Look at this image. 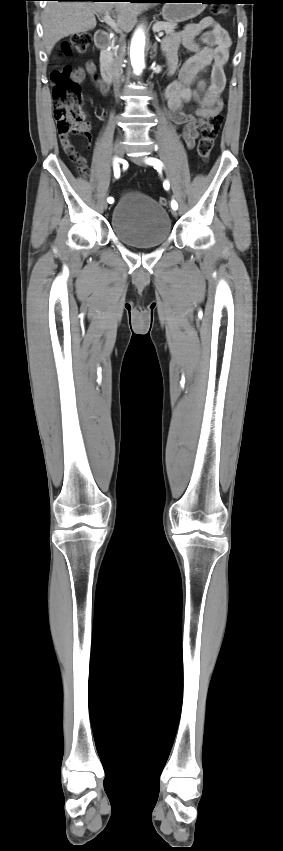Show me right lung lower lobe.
I'll list each match as a JSON object with an SVG mask.
<instances>
[{
  "instance_id": "1",
  "label": "right lung lower lobe",
  "mask_w": 283,
  "mask_h": 851,
  "mask_svg": "<svg viewBox=\"0 0 283 851\" xmlns=\"http://www.w3.org/2000/svg\"><path fill=\"white\" fill-rule=\"evenodd\" d=\"M58 1H99V0H58ZM129 2H150V0H123Z\"/></svg>"
}]
</instances>
